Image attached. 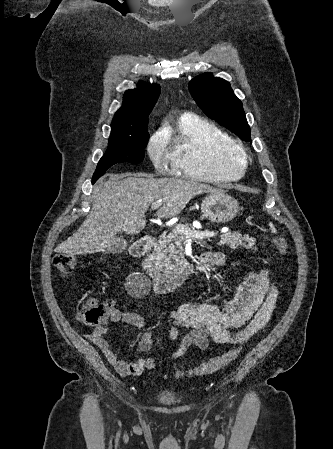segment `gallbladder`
Returning <instances> with one entry per match:
<instances>
[{
  "instance_id": "1",
  "label": "gallbladder",
  "mask_w": 333,
  "mask_h": 449,
  "mask_svg": "<svg viewBox=\"0 0 333 449\" xmlns=\"http://www.w3.org/2000/svg\"><path fill=\"white\" fill-rule=\"evenodd\" d=\"M128 247V244L125 240L121 238H116L115 242L112 243L109 247H107L104 252L111 253V254H118L122 253L126 248Z\"/></svg>"
}]
</instances>
